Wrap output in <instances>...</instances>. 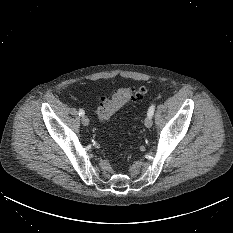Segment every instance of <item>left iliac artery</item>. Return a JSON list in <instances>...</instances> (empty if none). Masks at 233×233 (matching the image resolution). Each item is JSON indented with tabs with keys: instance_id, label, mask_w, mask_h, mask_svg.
<instances>
[{
	"instance_id": "1",
	"label": "left iliac artery",
	"mask_w": 233,
	"mask_h": 233,
	"mask_svg": "<svg viewBox=\"0 0 233 233\" xmlns=\"http://www.w3.org/2000/svg\"><path fill=\"white\" fill-rule=\"evenodd\" d=\"M154 111H155V105L152 104V105L149 107V109H148V113H147L148 116L152 117L153 114H154Z\"/></svg>"
}]
</instances>
